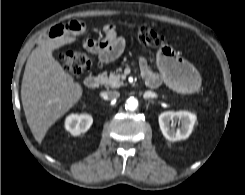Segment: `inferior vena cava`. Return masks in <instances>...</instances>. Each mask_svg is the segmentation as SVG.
I'll use <instances>...</instances> for the list:
<instances>
[{
    "mask_svg": "<svg viewBox=\"0 0 245 195\" xmlns=\"http://www.w3.org/2000/svg\"><path fill=\"white\" fill-rule=\"evenodd\" d=\"M100 95L105 100H113L118 98L120 96V93L117 91H107V92H102Z\"/></svg>",
    "mask_w": 245,
    "mask_h": 195,
    "instance_id": "inferior-vena-cava-1",
    "label": "inferior vena cava"
}]
</instances>
